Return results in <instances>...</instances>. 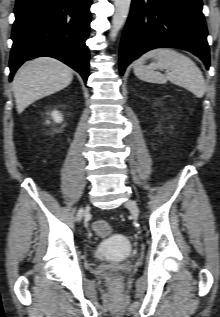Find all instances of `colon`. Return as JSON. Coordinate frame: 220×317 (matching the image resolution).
<instances>
[{"label":"colon","instance_id":"1","mask_svg":"<svg viewBox=\"0 0 220 317\" xmlns=\"http://www.w3.org/2000/svg\"><path fill=\"white\" fill-rule=\"evenodd\" d=\"M93 230L95 234L101 238L108 236L112 229L109 222L105 220H98L93 224ZM111 286L113 289H119L121 287V277L115 276L111 280Z\"/></svg>","mask_w":220,"mask_h":317}]
</instances>
